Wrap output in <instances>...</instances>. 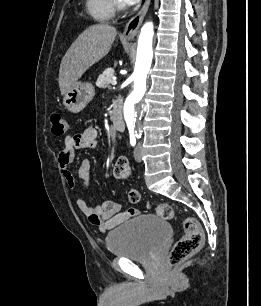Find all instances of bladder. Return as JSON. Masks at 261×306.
I'll list each match as a JSON object with an SVG mask.
<instances>
[{
    "label": "bladder",
    "instance_id": "1",
    "mask_svg": "<svg viewBox=\"0 0 261 306\" xmlns=\"http://www.w3.org/2000/svg\"><path fill=\"white\" fill-rule=\"evenodd\" d=\"M169 223L157 214H142L123 222L106 236L109 252L134 261L150 259L171 237Z\"/></svg>",
    "mask_w": 261,
    "mask_h": 306
}]
</instances>
